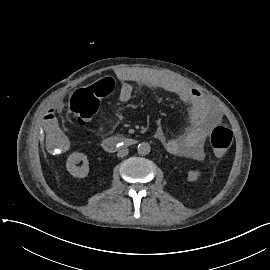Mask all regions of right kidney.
<instances>
[{
  "label": "right kidney",
  "mask_w": 270,
  "mask_h": 270,
  "mask_svg": "<svg viewBox=\"0 0 270 270\" xmlns=\"http://www.w3.org/2000/svg\"><path fill=\"white\" fill-rule=\"evenodd\" d=\"M81 159L84 160V165L82 168L79 169L76 167V162L77 160H81ZM66 169L74 177H78V178L87 177L89 173L87 155L81 152H75L71 154L67 159Z\"/></svg>",
  "instance_id": "1"
}]
</instances>
